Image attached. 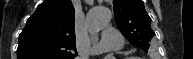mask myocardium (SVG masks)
Returning <instances> with one entry per match:
<instances>
[{
  "label": "myocardium",
  "mask_w": 193,
  "mask_h": 59,
  "mask_svg": "<svg viewBox=\"0 0 193 59\" xmlns=\"http://www.w3.org/2000/svg\"><path fill=\"white\" fill-rule=\"evenodd\" d=\"M122 59H141V58L134 57V56H127V57H123Z\"/></svg>",
  "instance_id": "myocardium-1"
}]
</instances>
